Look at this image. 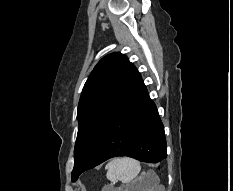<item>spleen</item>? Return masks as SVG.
<instances>
[{
  "label": "spleen",
  "instance_id": "obj_1",
  "mask_svg": "<svg viewBox=\"0 0 233 191\" xmlns=\"http://www.w3.org/2000/svg\"><path fill=\"white\" fill-rule=\"evenodd\" d=\"M106 169L109 181L120 180L123 183H130L138 176L141 166L137 160L125 157L112 160L106 165ZM149 175L155 176L154 173H149ZM155 178L157 177L155 176Z\"/></svg>",
  "mask_w": 233,
  "mask_h": 191
}]
</instances>
